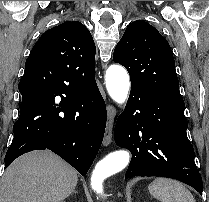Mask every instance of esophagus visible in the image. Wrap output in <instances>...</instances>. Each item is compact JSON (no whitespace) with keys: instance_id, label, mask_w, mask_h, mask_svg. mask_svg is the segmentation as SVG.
I'll return each instance as SVG.
<instances>
[{"instance_id":"1","label":"esophagus","mask_w":209,"mask_h":202,"mask_svg":"<svg viewBox=\"0 0 209 202\" xmlns=\"http://www.w3.org/2000/svg\"><path fill=\"white\" fill-rule=\"evenodd\" d=\"M115 116H116L115 108L112 105H109L107 108V124L105 129L104 140H103L104 146H108L111 143Z\"/></svg>"}]
</instances>
